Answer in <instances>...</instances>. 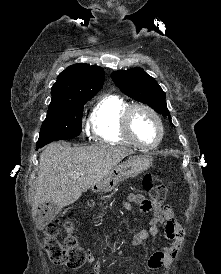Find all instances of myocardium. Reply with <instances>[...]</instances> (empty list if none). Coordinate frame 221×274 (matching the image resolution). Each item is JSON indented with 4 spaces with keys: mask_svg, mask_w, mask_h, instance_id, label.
Wrapping results in <instances>:
<instances>
[{
    "mask_svg": "<svg viewBox=\"0 0 221 274\" xmlns=\"http://www.w3.org/2000/svg\"><path fill=\"white\" fill-rule=\"evenodd\" d=\"M137 110L146 111L148 114H150L154 118V120L157 123L158 130H159V136H158V139L156 140V142H154L153 144L147 145V144L141 143L135 137V135L133 133V129H132V117H133V114ZM122 126H123V131H124L125 135L127 136V138L135 146H137V147H139L141 149L150 150V149L156 148L161 143V141H162V139L164 137V126H163V122H162L159 114L152 107H150V106H148L146 104H142V103L131 104L126 109V111L124 112L123 120H122Z\"/></svg>",
    "mask_w": 221,
    "mask_h": 274,
    "instance_id": "1",
    "label": "myocardium"
}]
</instances>
